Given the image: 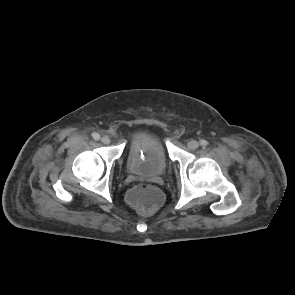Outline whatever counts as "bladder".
I'll return each mask as SVG.
<instances>
[{
    "label": "bladder",
    "instance_id": "bladder-1",
    "mask_svg": "<svg viewBox=\"0 0 295 295\" xmlns=\"http://www.w3.org/2000/svg\"><path fill=\"white\" fill-rule=\"evenodd\" d=\"M125 161L131 173L146 178L162 176L170 162L164 142L153 134H147L132 143L126 152Z\"/></svg>",
    "mask_w": 295,
    "mask_h": 295
}]
</instances>
